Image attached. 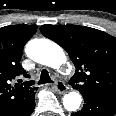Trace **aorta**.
<instances>
[{
	"label": "aorta",
	"mask_w": 116,
	"mask_h": 116,
	"mask_svg": "<svg viewBox=\"0 0 116 116\" xmlns=\"http://www.w3.org/2000/svg\"><path fill=\"white\" fill-rule=\"evenodd\" d=\"M25 52L33 61L55 69L66 62V55L63 49L48 39H33L29 41ZM81 101V95L75 91L69 92L63 97L64 108L71 112L80 107Z\"/></svg>",
	"instance_id": "1"
}]
</instances>
